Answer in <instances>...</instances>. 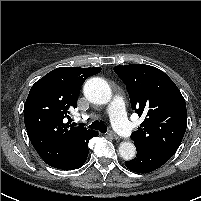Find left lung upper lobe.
Here are the masks:
<instances>
[{
  "instance_id": "5c2ea615",
  "label": "left lung upper lobe",
  "mask_w": 201,
  "mask_h": 201,
  "mask_svg": "<svg viewBox=\"0 0 201 201\" xmlns=\"http://www.w3.org/2000/svg\"><path fill=\"white\" fill-rule=\"evenodd\" d=\"M125 83L131 107L144 121L131 139L137 150L176 151L187 127L185 100L163 71L143 64L115 66Z\"/></svg>"
}]
</instances>
